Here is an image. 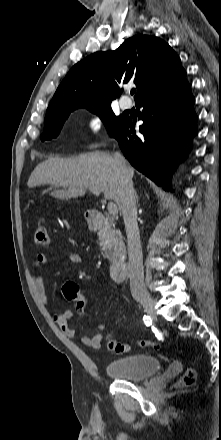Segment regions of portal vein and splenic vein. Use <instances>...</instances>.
<instances>
[{
	"instance_id": "portal-vein-and-splenic-vein-1",
	"label": "portal vein and splenic vein",
	"mask_w": 221,
	"mask_h": 440,
	"mask_svg": "<svg viewBox=\"0 0 221 440\" xmlns=\"http://www.w3.org/2000/svg\"><path fill=\"white\" fill-rule=\"evenodd\" d=\"M93 194L99 195L100 192L97 189H89ZM108 211L111 215L115 216L118 214V209L115 203L109 202L107 205Z\"/></svg>"
}]
</instances>
